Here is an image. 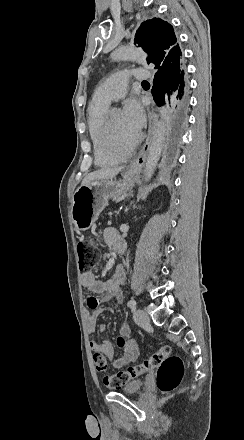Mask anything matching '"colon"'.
I'll return each mask as SVG.
<instances>
[{"instance_id":"5ec220e1","label":"colon","mask_w":244,"mask_h":440,"mask_svg":"<svg viewBox=\"0 0 244 440\" xmlns=\"http://www.w3.org/2000/svg\"><path fill=\"white\" fill-rule=\"evenodd\" d=\"M100 237L95 238V245L90 241L81 239L76 243L79 268L82 272H90L100 260L99 246ZM116 346L124 349L126 341L123 336H118ZM93 364L98 372H106L108 369V359L105 354L95 352L93 354ZM157 368L156 386L163 393H169L181 382L184 375V366L177 355L171 354L170 348L163 345L150 357L119 370L117 373H107L104 379L110 386L118 387L126 384L141 375Z\"/></svg>"}]
</instances>
